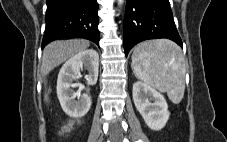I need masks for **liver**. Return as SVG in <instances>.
Segmentation results:
<instances>
[{
    "label": "liver",
    "instance_id": "6515ba94",
    "mask_svg": "<svg viewBox=\"0 0 227 142\" xmlns=\"http://www.w3.org/2000/svg\"><path fill=\"white\" fill-rule=\"evenodd\" d=\"M89 46V41L83 39L55 41L48 44L43 50L41 65L44 84L46 85L45 78L51 70L79 52L85 51ZM44 100L45 102L49 101L48 93H45Z\"/></svg>",
    "mask_w": 227,
    "mask_h": 142
}]
</instances>
